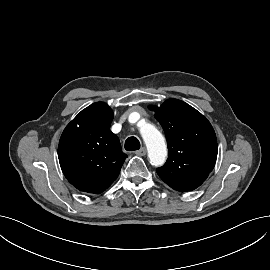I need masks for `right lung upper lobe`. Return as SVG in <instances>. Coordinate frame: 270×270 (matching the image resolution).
<instances>
[{
  "mask_svg": "<svg viewBox=\"0 0 270 270\" xmlns=\"http://www.w3.org/2000/svg\"><path fill=\"white\" fill-rule=\"evenodd\" d=\"M114 114L104 102L82 110L64 129L58 158L66 179L78 190L99 194L118 177L127 155L110 130Z\"/></svg>",
  "mask_w": 270,
  "mask_h": 270,
  "instance_id": "right-lung-upper-lobe-1",
  "label": "right lung upper lobe"
}]
</instances>
